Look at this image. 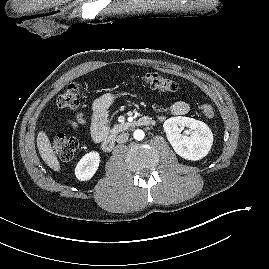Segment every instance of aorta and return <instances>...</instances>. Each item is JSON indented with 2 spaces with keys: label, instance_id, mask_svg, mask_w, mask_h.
<instances>
[{
  "label": "aorta",
  "instance_id": "obj_1",
  "mask_svg": "<svg viewBox=\"0 0 269 269\" xmlns=\"http://www.w3.org/2000/svg\"><path fill=\"white\" fill-rule=\"evenodd\" d=\"M133 136H134V139L140 141V140L144 139L145 133H144L143 130L137 129V130L134 131Z\"/></svg>",
  "mask_w": 269,
  "mask_h": 269
}]
</instances>
